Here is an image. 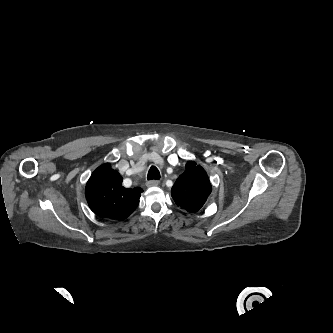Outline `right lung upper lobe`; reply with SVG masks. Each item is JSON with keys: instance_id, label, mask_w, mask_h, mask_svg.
Wrapping results in <instances>:
<instances>
[{"instance_id": "cb5924a9", "label": "right lung upper lobe", "mask_w": 333, "mask_h": 333, "mask_svg": "<svg viewBox=\"0 0 333 333\" xmlns=\"http://www.w3.org/2000/svg\"><path fill=\"white\" fill-rule=\"evenodd\" d=\"M123 178L109 163L98 167L89 178L85 195L90 209L98 216L122 221L137 208L139 187L125 188Z\"/></svg>"}]
</instances>
